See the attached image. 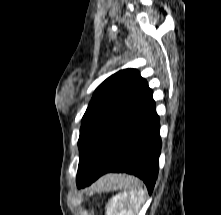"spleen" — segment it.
<instances>
[{"mask_svg":"<svg viewBox=\"0 0 221 215\" xmlns=\"http://www.w3.org/2000/svg\"><path fill=\"white\" fill-rule=\"evenodd\" d=\"M108 188L123 189L113 196L106 206V215H135L145 200V190L140 182L126 175H111Z\"/></svg>","mask_w":221,"mask_h":215,"instance_id":"spleen-1","label":"spleen"}]
</instances>
